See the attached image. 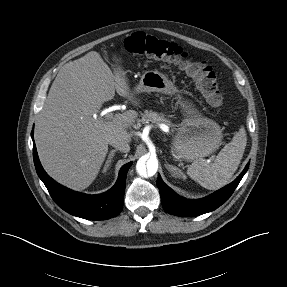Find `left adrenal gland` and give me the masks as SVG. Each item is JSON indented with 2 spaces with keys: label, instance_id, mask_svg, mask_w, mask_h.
I'll return each instance as SVG.
<instances>
[{
  "label": "left adrenal gland",
  "instance_id": "1",
  "mask_svg": "<svg viewBox=\"0 0 287 287\" xmlns=\"http://www.w3.org/2000/svg\"><path fill=\"white\" fill-rule=\"evenodd\" d=\"M165 167L172 174V176H174V177H185V174H183V172L179 168H177L173 165H170L168 163L165 164Z\"/></svg>",
  "mask_w": 287,
  "mask_h": 287
}]
</instances>
